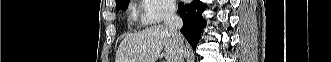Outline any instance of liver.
Masks as SVG:
<instances>
[{
  "mask_svg": "<svg viewBox=\"0 0 331 62\" xmlns=\"http://www.w3.org/2000/svg\"><path fill=\"white\" fill-rule=\"evenodd\" d=\"M163 48L166 62H175L171 33L163 25H153L127 35L119 45L115 62H157Z\"/></svg>",
  "mask_w": 331,
  "mask_h": 62,
  "instance_id": "6515ba94",
  "label": "liver"
}]
</instances>
